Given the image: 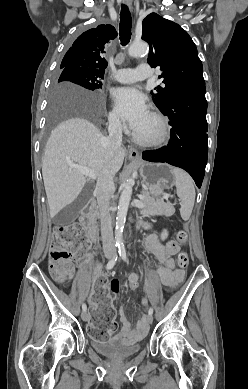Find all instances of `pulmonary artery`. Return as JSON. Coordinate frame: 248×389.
<instances>
[{"label": "pulmonary artery", "mask_w": 248, "mask_h": 389, "mask_svg": "<svg viewBox=\"0 0 248 389\" xmlns=\"http://www.w3.org/2000/svg\"><path fill=\"white\" fill-rule=\"evenodd\" d=\"M151 77V68L148 63H141L136 69H119L114 79L120 83H133L137 80H145Z\"/></svg>", "instance_id": "e3ab8cb5"}]
</instances>
